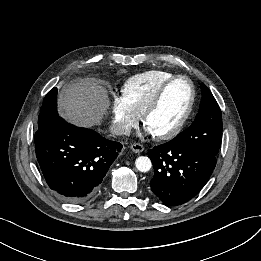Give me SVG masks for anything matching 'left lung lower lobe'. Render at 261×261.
<instances>
[{
  "instance_id": "obj_1",
  "label": "left lung lower lobe",
  "mask_w": 261,
  "mask_h": 261,
  "mask_svg": "<svg viewBox=\"0 0 261 261\" xmlns=\"http://www.w3.org/2000/svg\"><path fill=\"white\" fill-rule=\"evenodd\" d=\"M148 156L155 170L150 188L166 206L191 200L205 186L216 165L215 155L188 146L182 138L155 146Z\"/></svg>"
}]
</instances>
